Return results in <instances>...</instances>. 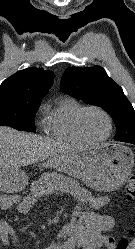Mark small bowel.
Returning a JSON list of instances; mask_svg holds the SVG:
<instances>
[{"label": "small bowel", "mask_w": 135, "mask_h": 249, "mask_svg": "<svg viewBox=\"0 0 135 249\" xmlns=\"http://www.w3.org/2000/svg\"><path fill=\"white\" fill-rule=\"evenodd\" d=\"M108 202L109 198L107 196H98L93 199L92 205L95 209H101L105 207ZM0 208L3 210L15 208L17 212L21 214H24L28 210L27 203L17 195L0 196ZM84 222L86 244L89 245V249L102 246L105 249H115L114 240L108 234L114 226V218L112 215L88 212L86 213ZM0 240L5 248L9 247L11 243L14 246L18 244L15 230L5 219L0 221ZM46 249H58V246L53 244Z\"/></svg>", "instance_id": "c3829d8e"}]
</instances>
